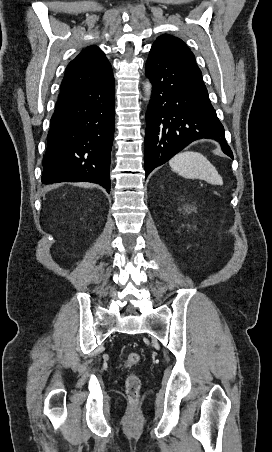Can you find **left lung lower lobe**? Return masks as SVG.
<instances>
[{"label": "left lung lower lobe", "mask_w": 272, "mask_h": 452, "mask_svg": "<svg viewBox=\"0 0 272 452\" xmlns=\"http://www.w3.org/2000/svg\"><path fill=\"white\" fill-rule=\"evenodd\" d=\"M145 73L153 84L146 114V176L197 139L218 141L233 158L198 66L165 48L152 47Z\"/></svg>", "instance_id": "left-lung-lower-lobe-1"}]
</instances>
